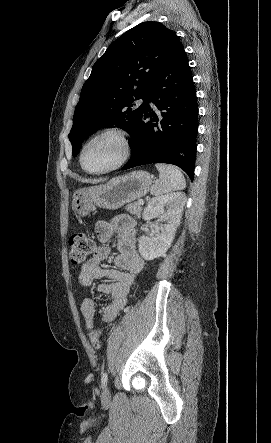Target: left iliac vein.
Masks as SVG:
<instances>
[{
    "instance_id": "obj_1",
    "label": "left iliac vein",
    "mask_w": 271,
    "mask_h": 443,
    "mask_svg": "<svg viewBox=\"0 0 271 443\" xmlns=\"http://www.w3.org/2000/svg\"><path fill=\"white\" fill-rule=\"evenodd\" d=\"M110 398V391L108 389V387H104L103 392H102V399L103 400H108Z\"/></svg>"
}]
</instances>
